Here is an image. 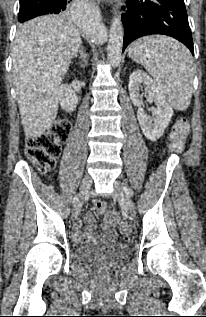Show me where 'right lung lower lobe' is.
Instances as JSON below:
<instances>
[{"label": "right lung lower lobe", "instance_id": "1", "mask_svg": "<svg viewBox=\"0 0 206 317\" xmlns=\"http://www.w3.org/2000/svg\"><path fill=\"white\" fill-rule=\"evenodd\" d=\"M71 0H57V2H55L56 7L61 8L62 12L66 9L67 4L70 2Z\"/></svg>", "mask_w": 206, "mask_h": 317}]
</instances>
